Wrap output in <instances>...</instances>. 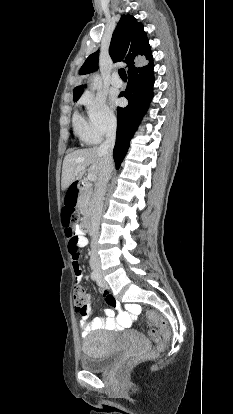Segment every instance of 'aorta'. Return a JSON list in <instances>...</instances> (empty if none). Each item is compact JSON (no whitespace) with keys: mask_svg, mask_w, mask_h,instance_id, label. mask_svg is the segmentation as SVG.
Segmentation results:
<instances>
[{"mask_svg":"<svg viewBox=\"0 0 233 414\" xmlns=\"http://www.w3.org/2000/svg\"><path fill=\"white\" fill-rule=\"evenodd\" d=\"M101 85H102L101 77L98 74H96L94 75L89 88L94 91L98 89L99 87H101Z\"/></svg>","mask_w":233,"mask_h":414,"instance_id":"obj_1","label":"aorta"}]
</instances>
